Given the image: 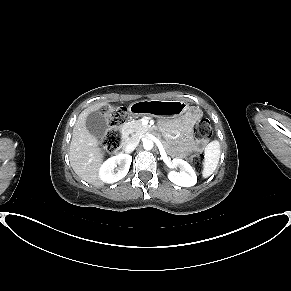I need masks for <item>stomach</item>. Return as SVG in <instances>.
<instances>
[{"instance_id": "1", "label": "stomach", "mask_w": 291, "mask_h": 291, "mask_svg": "<svg viewBox=\"0 0 291 291\" xmlns=\"http://www.w3.org/2000/svg\"><path fill=\"white\" fill-rule=\"evenodd\" d=\"M190 108L191 107L186 102L180 100H143L132 103L129 106L128 112L129 115L132 117L141 115H152L158 118L186 119V113Z\"/></svg>"}]
</instances>
